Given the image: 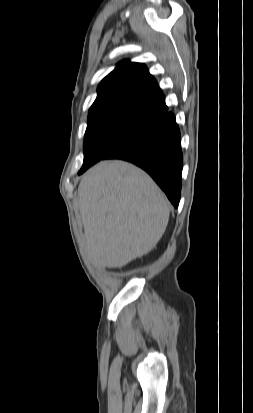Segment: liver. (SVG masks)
<instances>
[{
	"label": "liver",
	"mask_w": 253,
	"mask_h": 413,
	"mask_svg": "<svg viewBox=\"0 0 253 413\" xmlns=\"http://www.w3.org/2000/svg\"><path fill=\"white\" fill-rule=\"evenodd\" d=\"M85 246L93 265L121 268L149 253L164 234L170 205L140 168L120 160L101 161L78 187Z\"/></svg>",
	"instance_id": "obj_1"
}]
</instances>
